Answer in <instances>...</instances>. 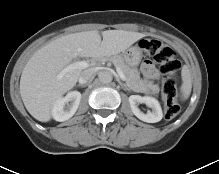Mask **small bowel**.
<instances>
[{
    "label": "small bowel",
    "mask_w": 219,
    "mask_h": 174,
    "mask_svg": "<svg viewBox=\"0 0 219 174\" xmlns=\"http://www.w3.org/2000/svg\"><path fill=\"white\" fill-rule=\"evenodd\" d=\"M142 72L144 76L148 79L155 80L159 77V71L150 60H145L142 64Z\"/></svg>",
    "instance_id": "c3829d8e"
}]
</instances>
